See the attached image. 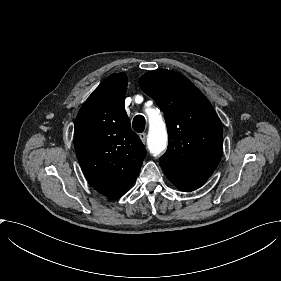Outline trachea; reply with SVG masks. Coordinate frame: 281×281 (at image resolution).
<instances>
[{
	"mask_svg": "<svg viewBox=\"0 0 281 281\" xmlns=\"http://www.w3.org/2000/svg\"><path fill=\"white\" fill-rule=\"evenodd\" d=\"M145 124H146V120H145L144 116L137 115V116L134 117V119H133V129L137 133H142L144 131Z\"/></svg>",
	"mask_w": 281,
	"mask_h": 281,
	"instance_id": "trachea-1",
	"label": "trachea"
}]
</instances>
